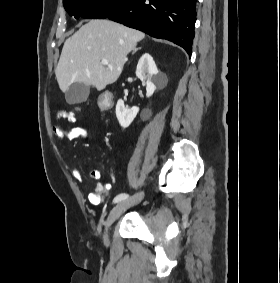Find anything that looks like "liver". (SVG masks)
Wrapping results in <instances>:
<instances>
[{"label":"liver","mask_w":280,"mask_h":283,"mask_svg":"<svg viewBox=\"0 0 280 283\" xmlns=\"http://www.w3.org/2000/svg\"><path fill=\"white\" fill-rule=\"evenodd\" d=\"M144 37L143 32L119 23L90 20L64 43L55 71L60 89L66 92L74 83H85L103 90L119 78L127 55Z\"/></svg>","instance_id":"6515ba94"}]
</instances>
